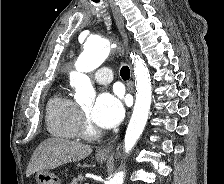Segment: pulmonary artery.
I'll list each match as a JSON object with an SVG mask.
<instances>
[{"label": "pulmonary artery", "mask_w": 224, "mask_h": 184, "mask_svg": "<svg viewBox=\"0 0 224 184\" xmlns=\"http://www.w3.org/2000/svg\"><path fill=\"white\" fill-rule=\"evenodd\" d=\"M94 79L99 84H108L113 80V73L108 68H101L94 74Z\"/></svg>", "instance_id": "e3ab8cb5"}]
</instances>
